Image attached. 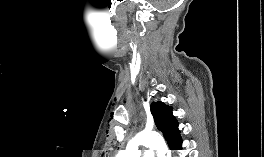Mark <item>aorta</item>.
Masks as SVG:
<instances>
[{
	"label": "aorta",
	"mask_w": 264,
	"mask_h": 157,
	"mask_svg": "<svg viewBox=\"0 0 264 157\" xmlns=\"http://www.w3.org/2000/svg\"><path fill=\"white\" fill-rule=\"evenodd\" d=\"M140 146L150 147L157 152V157H169L164 140L155 133H140L129 141L126 149L118 157H140Z\"/></svg>",
	"instance_id": "762f6f07"
}]
</instances>
